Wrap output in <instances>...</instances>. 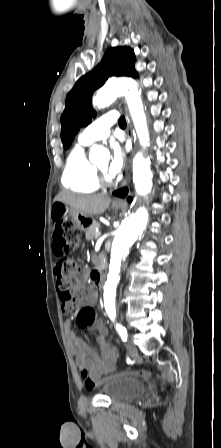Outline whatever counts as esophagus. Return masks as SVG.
Wrapping results in <instances>:
<instances>
[{
    "instance_id": "obj_1",
    "label": "esophagus",
    "mask_w": 221,
    "mask_h": 448,
    "mask_svg": "<svg viewBox=\"0 0 221 448\" xmlns=\"http://www.w3.org/2000/svg\"><path fill=\"white\" fill-rule=\"evenodd\" d=\"M127 120H128L127 136H128L129 141H131V142L133 143L132 127H131V124H130L128 118H127ZM134 151H135V147H134V143H133L132 150H131V157L133 156ZM130 164H131V160L129 161V167H128V169H130ZM130 178H131V177H130V173H127L126 176H125V178H124V180H123V182L121 183V187H125V186H127L128 183H129V181H130ZM113 202H114V203H125V201H123V200L120 199V198H115V199L113 200Z\"/></svg>"
}]
</instances>
